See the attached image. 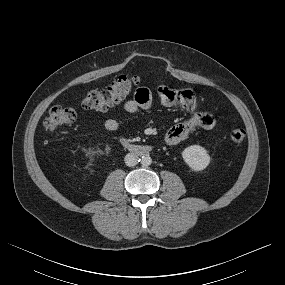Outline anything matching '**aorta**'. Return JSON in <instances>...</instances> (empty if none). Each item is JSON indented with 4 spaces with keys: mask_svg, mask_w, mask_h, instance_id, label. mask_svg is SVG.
Here are the masks:
<instances>
[{
    "mask_svg": "<svg viewBox=\"0 0 285 285\" xmlns=\"http://www.w3.org/2000/svg\"><path fill=\"white\" fill-rule=\"evenodd\" d=\"M140 163L142 166H149L152 163V159L149 155H144L141 157Z\"/></svg>",
    "mask_w": 285,
    "mask_h": 285,
    "instance_id": "762f6f07",
    "label": "aorta"
}]
</instances>
